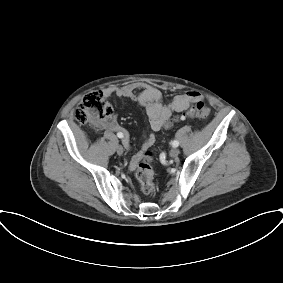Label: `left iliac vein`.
I'll use <instances>...</instances> for the list:
<instances>
[{
  "mask_svg": "<svg viewBox=\"0 0 283 283\" xmlns=\"http://www.w3.org/2000/svg\"><path fill=\"white\" fill-rule=\"evenodd\" d=\"M179 153H180V150H179L178 148L174 147V148L170 151L169 155H170V157H172V158H176V157L179 155Z\"/></svg>",
  "mask_w": 283,
  "mask_h": 283,
  "instance_id": "4c4485c4",
  "label": "left iliac vein"
}]
</instances>
